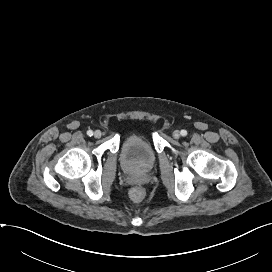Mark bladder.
Instances as JSON below:
<instances>
[{
  "label": "bladder",
  "mask_w": 272,
  "mask_h": 272,
  "mask_svg": "<svg viewBox=\"0 0 272 272\" xmlns=\"http://www.w3.org/2000/svg\"><path fill=\"white\" fill-rule=\"evenodd\" d=\"M156 154L150 143L141 135L128 136L122 146L121 162L128 171H147L154 165Z\"/></svg>",
  "instance_id": "31cf9c89"
}]
</instances>
